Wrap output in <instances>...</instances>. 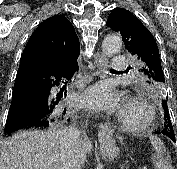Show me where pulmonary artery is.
Here are the masks:
<instances>
[{
	"label": "pulmonary artery",
	"instance_id": "e3ab8cb5",
	"mask_svg": "<svg viewBox=\"0 0 177 169\" xmlns=\"http://www.w3.org/2000/svg\"><path fill=\"white\" fill-rule=\"evenodd\" d=\"M127 65V61L123 56H115L111 61V66L113 69L119 70Z\"/></svg>",
	"mask_w": 177,
	"mask_h": 169
}]
</instances>
